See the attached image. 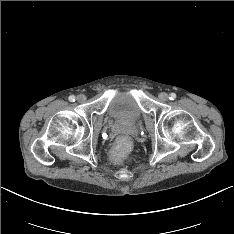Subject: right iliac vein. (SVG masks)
Wrapping results in <instances>:
<instances>
[{
	"mask_svg": "<svg viewBox=\"0 0 234 234\" xmlns=\"http://www.w3.org/2000/svg\"><path fill=\"white\" fill-rule=\"evenodd\" d=\"M86 100V96L83 94H80L77 96V101L80 103H83Z\"/></svg>",
	"mask_w": 234,
	"mask_h": 234,
	"instance_id": "63e3f726",
	"label": "right iliac vein"
}]
</instances>
